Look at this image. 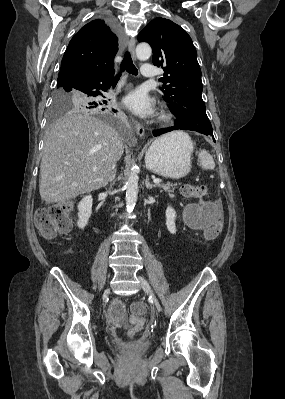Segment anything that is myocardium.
<instances>
[{
	"label": "myocardium",
	"mask_w": 285,
	"mask_h": 399,
	"mask_svg": "<svg viewBox=\"0 0 285 399\" xmlns=\"http://www.w3.org/2000/svg\"><path fill=\"white\" fill-rule=\"evenodd\" d=\"M172 114L167 107H162L159 113V120L163 123H167L171 120Z\"/></svg>",
	"instance_id": "myocardium-1"
}]
</instances>
